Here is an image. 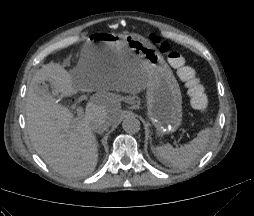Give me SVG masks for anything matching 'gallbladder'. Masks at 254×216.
<instances>
[{"mask_svg":"<svg viewBox=\"0 0 254 216\" xmlns=\"http://www.w3.org/2000/svg\"><path fill=\"white\" fill-rule=\"evenodd\" d=\"M44 88H46L45 85H41V86H40V89H44ZM46 89H47V88H46Z\"/></svg>","mask_w":254,"mask_h":216,"instance_id":"gallbladder-1","label":"gallbladder"}]
</instances>
